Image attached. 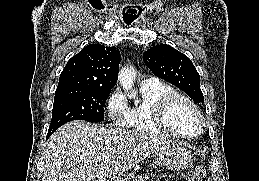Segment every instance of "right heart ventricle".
I'll return each instance as SVG.
<instances>
[{
    "instance_id": "1",
    "label": "right heart ventricle",
    "mask_w": 259,
    "mask_h": 181,
    "mask_svg": "<svg viewBox=\"0 0 259 181\" xmlns=\"http://www.w3.org/2000/svg\"><path fill=\"white\" fill-rule=\"evenodd\" d=\"M173 92L175 91L171 86L159 80L141 84L142 100L139 104L129 108L125 127L141 133L174 136L159 126L155 116V108L158 102L164 96Z\"/></svg>"
}]
</instances>
